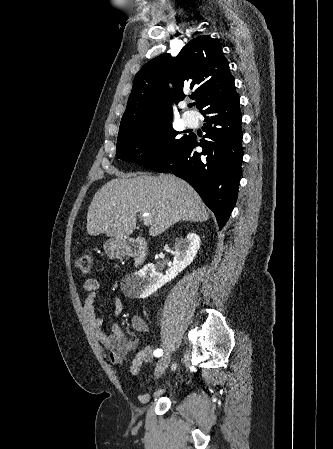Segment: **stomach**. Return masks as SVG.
I'll return each instance as SVG.
<instances>
[{
  "label": "stomach",
  "instance_id": "1",
  "mask_svg": "<svg viewBox=\"0 0 333 449\" xmlns=\"http://www.w3.org/2000/svg\"><path fill=\"white\" fill-rule=\"evenodd\" d=\"M104 249L110 258H118L125 254L123 242L118 239H110L104 244Z\"/></svg>",
  "mask_w": 333,
  "mask_h": 449
}]
</instances>
